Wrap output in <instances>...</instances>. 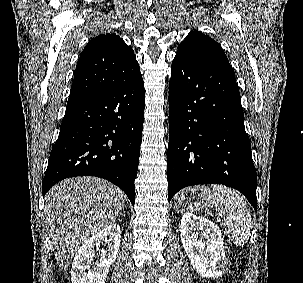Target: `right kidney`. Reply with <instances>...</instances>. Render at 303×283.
<instances>
[{
    "label": "right kidney",
    "mask_w": 303,
    "mask_h": 283,
    "mask_svg": "<svg viewBox=\"0 0 303 283\" xmlns=\"http://www.w3.org/2000/svg\"><path fill=\"white\" fill-rule=\"evenodd\" d=\"M120 241L121 229L116 224L91 236L75 255L71 271L72 283H105L109 267L116 260ZM103 242L107 243V248L101 250V258L96 267L90 268L95 249Z\"/></svg>",
    "instance_id": "right-kidney-1"
}]
</instances>
